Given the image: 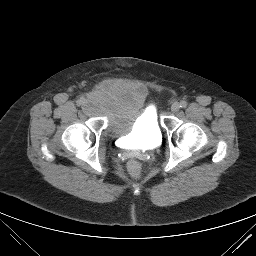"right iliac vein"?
<instances>
[{
    "mask_svg": "<svg viewBox=\"0 0 256 256\" xmlns=\"http://www.w3.org/2000/svg\"><path fill=\"white\" fill-rule=\"evenodd\" d=\"M87 103H88V102L86 101L85 104H84V106H87Z\"/></svg>",
    "mask_w": 256,
    "mask_h": 256,
    "instance_id": "1",
    "label": "right iliac vein"
}]
</instances>
